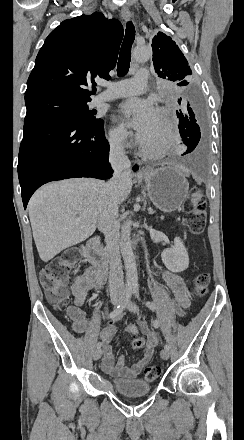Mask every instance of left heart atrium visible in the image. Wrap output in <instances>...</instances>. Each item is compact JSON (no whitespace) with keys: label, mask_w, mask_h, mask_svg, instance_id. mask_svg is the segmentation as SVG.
<instances>
[{"label":"left heart atrium","mask_w":244,"mask_h":440,"mask_svg":"<svg viewBox=\"0 0 244 440\" xmlns=\"http://www.w3.org/2000/svg\"><path fill=\"white\" fill-rule=\"evenodd\" d=\"M123 114L131 115V125L141 133H145L152 125L156 110L147 100L133 99L121 107Z\"/></svg>","instance_id":"39dd6f15"}]
</instances>
